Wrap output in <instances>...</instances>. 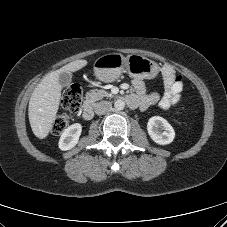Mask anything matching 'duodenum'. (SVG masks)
<instances>
[{
	"instance_id": "410a0bca",
	"label": "duodenum",
	"mask_w": 227,
	"mask_h": 227,
	"mask_svg": "<svg viewBox=\"0 0 227 227\" xmlns=\"http://www.w3.org/2000/svg\"><path fill=\"white\" fill-rule=\"evenodd\" d=\"M126 103L131 107L135 108L137 106V102L134 97L128 95L124 98ZM82 116L85 120H91L94 116L93 105L90 101L85 102L82 110Z\"/></svg>"
}]
</instances>
